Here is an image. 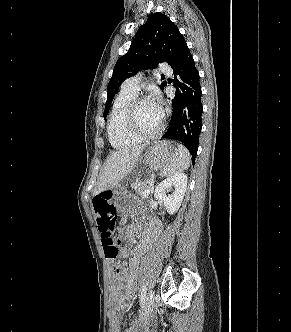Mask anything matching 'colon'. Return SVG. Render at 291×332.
I'll list each match as a JSON object with an SVG mask.
<instances>
[{
    "label": "colon",
    "mask_w": 291,
    "mask_h": 332,
    "mask_svg": "<svg viewBox=\"0 0 291 332\" xmlns=\"http://www.w3.org/2000/svg\"><path fill=\"white\" fill-rule=\"evenodd\" d=\"M94 209L97 216V224L101 234L102 245L106 258L114 260L117 258L119 250L116 245V209L110 202L108 192H104L95 197ZM109 332H120V318L113 311L109 319Z\"/></svg>",
    "instance_id": "1"
}]
</instances>
